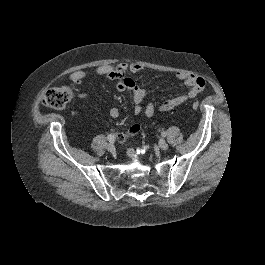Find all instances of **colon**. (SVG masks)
<instances>
[{
	"mask_svg": "<svg viewBox=\"0 0 265 265\" xmlns=\"http://www.w3.org/2000/svg\"><path fill=\"white\" fill-rule=\"evenodd\" d=\"M73 90L70 86H61L48 89L42 98V103L51 109L62 110L73 98ZM194 110L199 108V103L192 104Z\"/></svg>",
	"mask_w": 265,
	"mask_h": 265,
	"instance_id": "1",
	"label": "colon"
}]
</instances>
